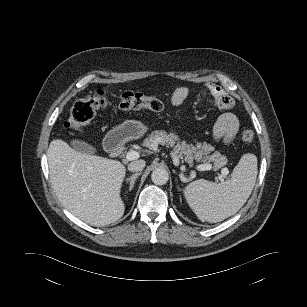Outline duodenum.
Segmentation results:
<instances>
[{
    "mask_svg": "<svg viewBox=\"0 0 307 307\" xmlns=\"http://www.w3.org/2000/svg\"><path fill=\"white\" fill-rule=\"evenodd\" d=\"M107 146L112 156H119L124 150V145L120 142L118 137L109 138Z\"/></svg>",
    "mask_w": 307,
    "mask_h": 307,
    "instance_id": "410a0bca",
    "label": "duodenum"
}]
</instances>
